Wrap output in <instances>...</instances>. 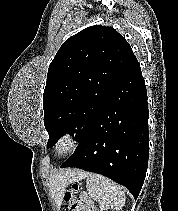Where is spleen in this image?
<instances>
[{
	"label": "spleen",
	"mask_w": 178,
	"mask_h": 211,
	"mask_svg": "<svg viewBox=\"0 0 178 211\" xmlns=\"http://www.w3.org/2000/svg\"><path fill=\"white\" fill-rule=\"evenodd\" d=\"M86 188L90 197L100 204L101 210L109 208L120 210L125 204L122 188L100 174L84 173Z\"/></svg>",
	"instance_id": "1"
}]
</instances>
